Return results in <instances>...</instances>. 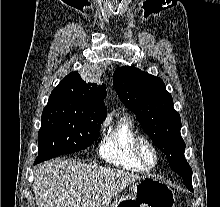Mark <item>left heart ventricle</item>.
Listing matches in <instances>:
<instances>
[{
    "label": "left heart ventricle",
    "mask_w": 220,
    "mask_h": 207,
    "mask_svg": "<svg viewBox=\"0 0 220 207\" xmlns=\"http://www.w3.org/2000/svg\"><path fill=\"white\" fill-rule=\"evenodd\" d=\"M143 154H144V156H145V158H146V160L148 162H152L153 161V154H152V152H151V150L149 148L144 147L143 148Z\"/></svg>",
    "instance_id": "1"
}]
</instances>
